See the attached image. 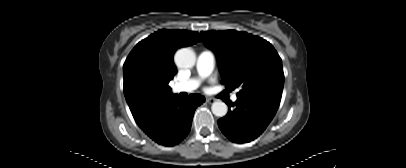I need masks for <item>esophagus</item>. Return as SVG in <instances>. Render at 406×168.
Returning <instances> with one entry per match:
<instances>
[{
  "label": "esophagus",
  "mask_w": 406,
  "mask_h": 168,
  "mask_svg": "<svg viewBox=\"0 0 406 168\" xmlns=\"http://www.w3.org/2000/svg\"><path fill=\"white\" fill-rule=\"evenodd\" d=\"M206 102L211 104V103H214V102H215V99H214V98H211V97H207V98H206Z\"/></svg>",
  "instance_id": "obj_1"
}]
</instances>
